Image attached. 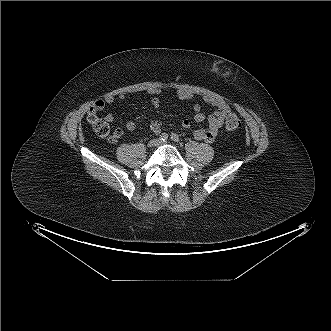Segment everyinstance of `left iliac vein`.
I'll return each mask as SVG.
<instances>
[{
	"mask_svg": "<svg viewBox=\"0 0 331 331\" xmlns=\"http://www.w3.org/2000/svg\"><path fill=\"white\" fill-rule=\"evenodd\" d=\"M162 144H167V141L166 142H159V145H162Z\"/></svg>",
	"mask_w": 331,
	"mask_h": 331,
	"instance_id": "left-iliac-vein-1",
	"label": "left iliac vein"
}]
</instances>
